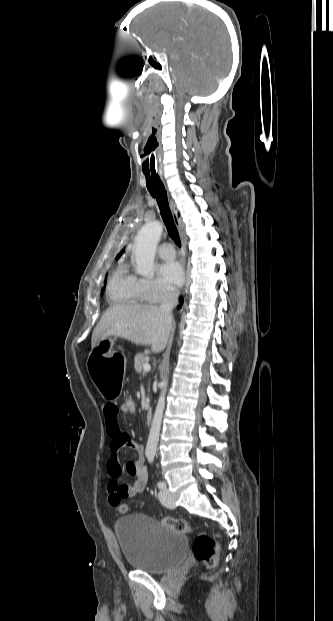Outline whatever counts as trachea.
<instances>
[{
    "label": "trachea",
    "mask_w": 333,
    "mask_h": 621,
    "mask_svg": "<svg viewBox=\"0 0 333 621\" xmlns=\"http://www.w3.org/2000/svg\"><path fill=\"white\" fill-rule=\"evenodd\" d=\"M146 178V186L153 198L158 202L162 219L165 223L169 236L174 240L177 246L181 247V241L177 227L175 225L166 194L165 187L156 174L144 172Z\"/></svg>",
    "instance_id": "trachea-1"
}]
</instances>
